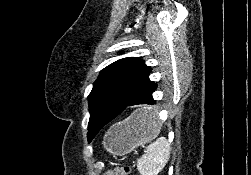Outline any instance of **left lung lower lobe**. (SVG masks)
I'll use <instances>...</instances> for the list:
<instances>
[{"label":"left lung lower lobe","mask_w":251,"mask_h":175,"mask_svg":"<svg viewBox=\"0 0 251 175\" xmlns=\"http://www.w3.org/2000/svg\"><path fill=\"white\" fill-rule=\"evenodd\" d=\"M157 85L149 80V75L137 86L130 99L124 104L110 103L96 111L97 120L106 125L121 117L133 119H150L158 115V110L150 105L155 104L152 93Z\"/></svg>","instance_id":"obj_1"}]
</instances>
